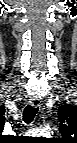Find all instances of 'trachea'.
<instances>
[{"label":"trachea","mask_w":77,"mask_h":143,"mask_svg":"<svg viewBox=\"0 0 77 143\" xmlns=\"http://www.w3.org/2000/svg\"><path fill=\"white\" fill-rule=\"evenodd\" d=\"M38 112V107H33L31 105H27L23 112V120L25 123L29 124L33 121L34 117Z\"/></svg>","instance_id":"obj_1"}]
</instances>
